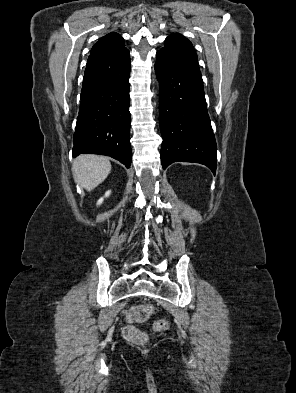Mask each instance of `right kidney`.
<instances>
[{
	"label": "right kidney",
	"instance_id": "ca27d5eb",
	"mask_svg": "<svg viewBox=\"0 0 296 393\" xmlns=\"http://www.w3.org/2000/svg\"><path fill=\"white\" fill-rule=\"evenodd\" d=\"M110 193H111V191H107V192L105 193V197H108V196L110 195ZM103 200H104L103 197L100 198V199L98 200V202H97V205L102 204Z\"/></svg>",
	"mask_w": 296,
	"mask_h": 393
}]
</instances>
